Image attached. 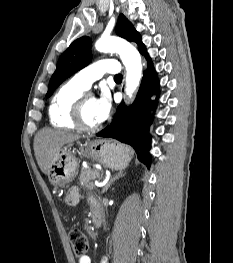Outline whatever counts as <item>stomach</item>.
Returning a JSON list of instances; mask_svg holds the SVG:
<instances>
[{
  "label": "stomach",
  "mask_w": 233,
  "mask_h": 263,
  "mask_svg": "<svg viewBox=\"0 0 233 263\" xmlns=\"http://www.w3.org/2000/svg\"><path fill=\"white\" fill-rule=\"evenodd\" d=\"M85 154L114 170L126 168L132 158L129 147L103 139L88 140ZM78 173V162L67 147L61 148L48 170V177L56 187H63L71 182Z\"/></svg>",
  "instance_id": "stomach-1"
}]
</instances>
